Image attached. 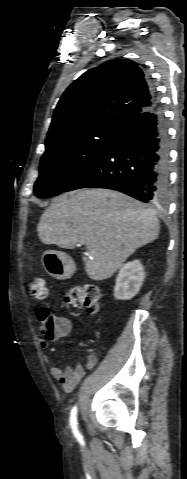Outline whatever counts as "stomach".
<instances>
[{
  "label": "stomach",
  "mask_w": 187,
  "mask_h": 479,
  "mask_svg": "<svg viewBox=\"0 0 187 479\" xmlns=\"http://www.w3.org/2000/svg\"><path fill=\"white\" fill-rule=\"evenodd\" d=\"M42 264L47 273L56 279L70 278L74 272V263L64 252L54 250L44 252Z\"/></svg>",
  "instance_id": "0dacf381"
}]
</instances>
